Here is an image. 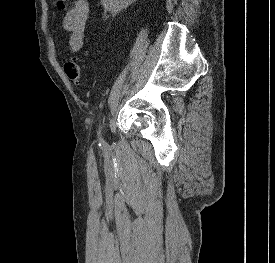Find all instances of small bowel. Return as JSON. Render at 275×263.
<instances>
[{
	"mask_svg": "<svg viewBox=\"0 0 275 263\" xmlns=\"http://www.w3.org/2000/svg\"><path fill=\"white\" fill-rule=\"evenodd\" d=\"M89 10L88 0H76L64 16L63 27L69 33V47L73 53L80 51L83 47Z\"/></svg>",
	"mask_w": 275,
	"mask_h": 263,
	"instance_id": "small-bowel-1",
	"label": "small bowel"
}]
</instances>
